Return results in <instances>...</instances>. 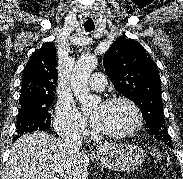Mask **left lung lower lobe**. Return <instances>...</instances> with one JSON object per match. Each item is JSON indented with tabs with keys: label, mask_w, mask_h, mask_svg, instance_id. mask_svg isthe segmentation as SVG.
Here are the masks:
<instances>
[{
	"label": "left lung lower lobe",
	"mask_w": 183,
	"mask_h": 179,
	"mask_svg": "<svg viewBox=\"0 0 183 179\" xmlns=\"http://www.w3.org/2000/svg\"><path fill=\"white\" fill-rule=\"evenodd\" d=\"M168 146H170V147H172V145H171V142H169V143H166Z\"/></svg>",
	"instance_id": "0a47b994"
}]
</instances>
